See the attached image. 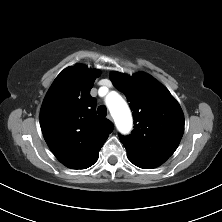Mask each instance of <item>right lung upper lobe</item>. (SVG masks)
<instances>
[{"label":"right lung upper lobe","mask_w":222,"mask_h":222,"mask_svg":"<svg viewBox=\"0 0 222 222\" xmlns=\"http://www.w3.org/2000/svg\"><path fill=\"white\" fill-rule=\"evenodd\" d=\"M99 70L77 64L64 69L54 80L40 112L41 129L56 158L71 169H86L113 131L111 121L96 114L90 90Z\"/></svg>","instance_id":"cb5924a9"}]
</instances>
